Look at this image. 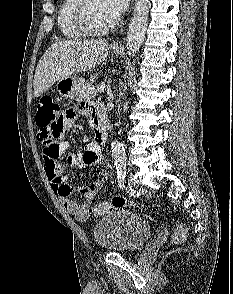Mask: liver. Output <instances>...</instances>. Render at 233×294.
Returning a JSON list of instances; mask_svg holds the SVG:
<instances>
[{
    "mask_svg": "<svg viewBox=\"0 0 233 294\" xmlns=\"http://www.w3.org/2000/svg\"><path fill=\"white\" fill-rule=\"evenodd\" d=\"M108 50L104 40L73 39L52 44L37 65L34 97L41 96L60 79L95 67L106 58Z\"/></svg>",
    "mask_w": 233,
    "mask_h": 294,
    "instance_id": "liver-1",
    "label": "liver"
}]
</instances>
